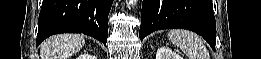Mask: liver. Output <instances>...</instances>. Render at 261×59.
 Returning a JSON list of instances; mask_svg holds the SVG:
<instances>
[{
	"instance_id": "1",
	"label": "liver",
	"mask_w": 261,
	"mask_h": 59,
	"mask_svg": "<svg viewBox=\"0 0 261 59\" xmlns=\"http://www.w3.org/2000/svg\"><path fill=\"white\" fill-rule=\"evenodd\" d=\"M83 36L60 34L48 38L41 44V59H69L84 46Z\"/></svg>"
}]
</instances>
